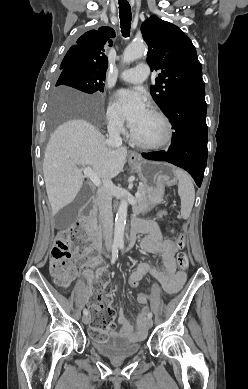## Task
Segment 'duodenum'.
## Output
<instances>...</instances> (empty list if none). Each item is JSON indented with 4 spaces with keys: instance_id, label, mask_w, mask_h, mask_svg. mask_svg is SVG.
<instances>
[{
    "instance_id": "1",
    "label": "duodenum",
    "mask_w": 248,
    "mask_h": 389,
    "mask_svg": "<svg viewBox=\"0 0 248 389\" xmlns=\"http://www.w3.org/2000/svg\"><path fill=\"white\" fill-rule=\"evenodd\" d=\"M96 216H97V208L95 205H91L88 211L86 210L82 211L80 217V223L86 230V233L89 237L92 247L96 251H101L102 249L101 240L95 225ZM138 228L139 226L133 225L128 238L127 247H130L132 245L136 233L139 232Z\"/></svg>"
}]
</instances>
